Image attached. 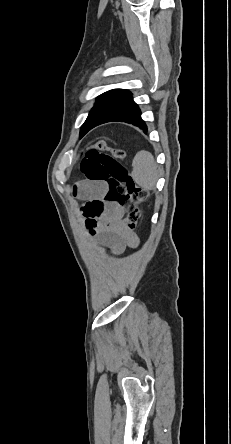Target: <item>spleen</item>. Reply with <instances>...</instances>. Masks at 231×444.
Returning a JSON list of instances; mask_svg holds the SVG:
<instances>
[{
    "label": "spleen",
    "mask_w": 231,
    "mask_h": 444,
    "mask_svg": "<svg viewBox=\"0 0 231 444\" xmlns=\"http://www.w3.org/2000/svg\"><path fill=\"white\" fill-rule=\"evenodd\" d=\"M133 180L145 190L155 189L158 180V168L153 155L145 150L137 152L132 161Z\"/></svg>",
    "instance_id": "spleen-1"
}]
</instances>
